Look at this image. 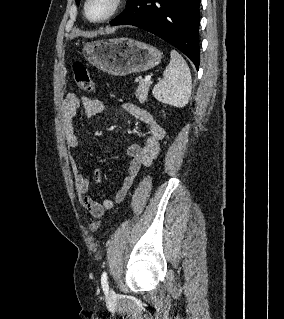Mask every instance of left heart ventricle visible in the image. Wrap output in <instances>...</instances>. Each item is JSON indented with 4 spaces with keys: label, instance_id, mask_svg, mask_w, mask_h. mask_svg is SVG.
I'll return each mask as SVG.
<instances>
[{
    "label": "left heart ventricle",
    "instance_id": "b2bd125f",
    "mask_svg": "<svg viewBox=\"0 0 284 319\" xmlns=\"http://www.w3.org/2000/svg\"><path fill=\"white\" fill-rule=\"evenodd\" d=\"M112 0H91L88 5V14L93 19L104 17L111 8Z\"/></svg>",
    "mask_w": 284,
    "mask_h": 319
}]
</instances>
